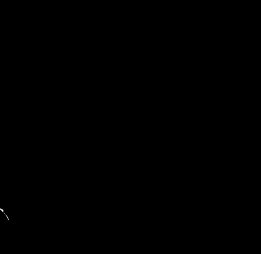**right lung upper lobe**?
<instances>
[{
  "label": "right lung upper lobe",
  "instance_id": "cb5924a9",
  "mask_svg": "<svg viewBox=\"0 0 261 254\" xmlns=\"http://www.w3.org/2000/svg\"><path fill=\"white\" fill-rule=\"evenodd\" d=\"M72 89V88H71ZM66 91H64L65 93ZM63 93V94H64ZM63 94H61L60 96H58V98L56 99L55 103L53 104V106L51 107V111H50V116H49V121H48V124H47V127H46V132L47 134L50 133L52 130L58 128V127H61V126H66V125H69V126H75V127H78L79 126L72 122V121H68V120H65L61 117L58 116L57 114V111H56V108H57V104L60 102Z\"/></svg>",
  "mask_w": 261,
  "mask_h": 254
}]
</instances>
